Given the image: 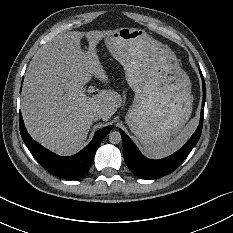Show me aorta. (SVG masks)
Instances as JSON below:
<instances>
[{"mask_svg":"<svg viewBox=\"0 0 233 233\" xmlns=\"http://www.w3.org/2000/svg\"><path fill=\"white\" fill-rule=\"evenodd\" d=\"M121 140H122V137L119 131H111L109 133V141L112 144L120 143Z\"/></svg>","mask_w":233,"mask_h":233,"instance_id":"obj_1","label":"aorta"}]
</instances>
